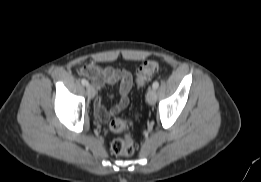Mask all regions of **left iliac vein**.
Here are the masks:
<instances>
[{
	"label": "left iliac vein",
	"mask_w": 261,
	"mask_h": 182,
	"mask_svg": "<svg viewBox=\"0 0 261 182\" xmlns=\"http://www.w3.org/2000/svg\"><path fill=\"white\" fill-rule=\"evenodd\" d=\"M156 91L155 89L151 88L148 90L147 94H146V100L149 104H154L156 102Z\"/></svg>",
	"instance_id": "obj_1"
}]
</instances>
